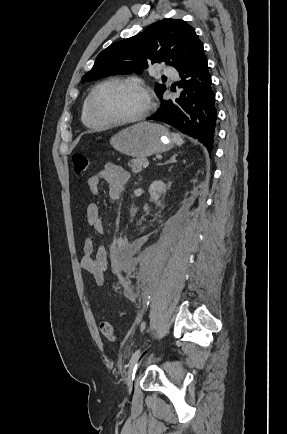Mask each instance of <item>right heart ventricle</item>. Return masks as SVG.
Segmentation results:
<instances>
[{"instance_id": "right-heart-ventricle-1", "label": "right heart ventricle", "mask_w": 287, "mask_h": 434, "mask_svg": "<svg viewBox=\"0 0 287 434\" xmlns=\"http://www.w3.org/2000/svg\"><path fill=\"white\" fill-rule=\"evenodd\" d=\"M81 118L85 125L89 127H101L102 125L95 121L89 114L87 108V98L84 100L81 111Z\"/></svg>"}]
</instances>
